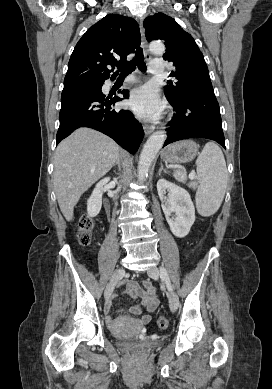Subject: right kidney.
Masks as SVG:
<instances>
[{
    "mask_svg": "<svg viewBox=\"0 0 272 389\" xmlns=\"http://www.w3.org/2000/svg\"><path fill=\"white\" fill-rule=\"evenodd\" d=\"M109 178L101 180L93 190L90 198L87 201L88 216L95 217L99 214L102 207V188L109 182Z\"/></svg>",
    "mask_w": 272,
    "mask_h": 389,
    "instance_id": "1",
    "label": "right kidney"
}]
</instances>
